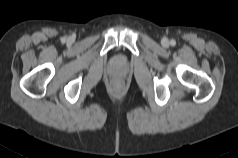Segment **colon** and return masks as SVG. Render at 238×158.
I'll return each instance as SVG.
<instances>
[{
  "instance_id": "5ec220e1",
  "label": "colon",
  "mask_w": 238,
  "mask_h": 158,
  "mask_svg": "<svg viewBox=\"0 0 238 158\" xmlns=\"http://www.w3.org/2000/svg\"><path fill=\"white\" fill-rule=\"evenodd\" d=\"M113 90L114 92H119L121 90V85L118 82L114 83Z\"/></svg>"
}]
</instances>
